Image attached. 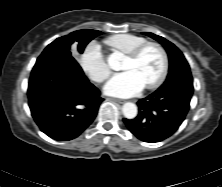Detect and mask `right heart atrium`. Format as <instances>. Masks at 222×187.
Returning <instances> with one entry per match:
<instances>
[{"instance_id":"1","label":"right heart atrium","mask_w":222,"mask_h":187,"mask_svg":"<svg viewBox=\"0 0 222 187\" xmlns=\"http://www.w3.org/2000/svg\"><path fill=\"white\" fill-rule=\"evenodd\" d=\"M79 63L83 71L95 82L101 83L111 74L110 65L96 41H90L84 47Z\"/></svg>"}]
</instances>
